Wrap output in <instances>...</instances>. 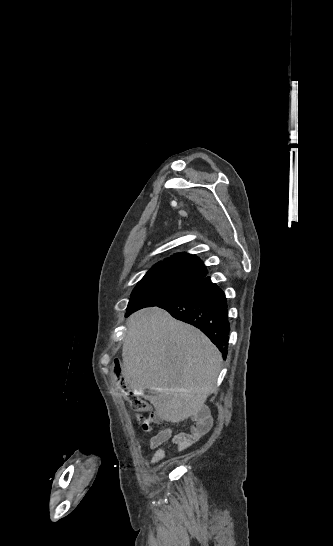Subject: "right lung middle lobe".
<instances>
[{"mask_svg":"<svg viewBox=\"0 0 333 546\" xmlns=\"http://www.w3.org/2000/svg\"><path fill=\"white\" fill-rule=\"evenodd\" d=\"M201 280H190L170 275H145L134 288L128 310L156 306L197 289Z\"/></svg>","mask_w":333,"mask_h":546,"instance_id":"obj_1","label":"right lung middle lobe"}]
</instances>
